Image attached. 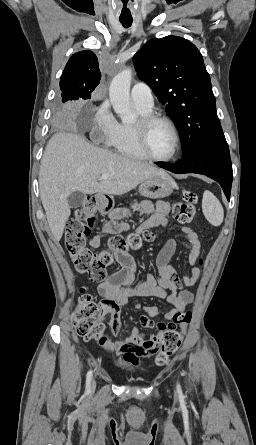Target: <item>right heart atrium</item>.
Segmentation results:
<instances>
[{
  "label": "right heart atrium",
  "mask_w": 256,
  "mask_h": 445,
  "mask_svg": "<svg viewBox=\"0 0 256 445\" xmlns=\"http://www.w3.org/2000/svg\"><path fill=\"white\" fill-rule=\"evenodd\" d=\"M118 125L109 104L103 102L95 111L91 134L95 140L109 144L117 132Z\"/></svg>",
  "instance_id": "d8ad5b80"
}]
</instances>
